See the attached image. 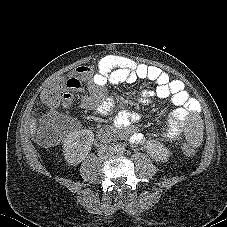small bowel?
<instances>
[{
    "label": "small bowel",
    "instance_id": "obj_1",
    "mask_svg": "<svg viewBox=\"0 0 227 227\" xmlns=\"http://www.w3.org/2000/svg\"><path fill=\"white\" fill-rule=\"evenodd\" d=\"M138 80H149L155 83L152 90H144L139 97L140 103L148 105L152 99H169L177 107L168 120L167 127L162 135L170 140L181 137L184 131V120L189 112H197V105L187 95L184 84L178 79H172L164 70L154 65L137 63L132 59L109 55L101 58L97 64V72L90 66L76 68L75 75L64 79L65 90L63 92V106L69 107L75 102L74 92L87 88L89 94L81 100L84 109H94L98 116L104 117L112 109L110 100L100 99L102 90L108 84L135 83ZM66 116L53 115L52 119ZM136 117L133 115H121L116 119L114 134L122 132ZM129 142L141 145L147 141L143 132H132L128 135Z\"/></svg>",
    "mask_w": 227,
    "mask_h": 227
}]
</instances>
